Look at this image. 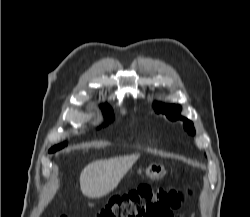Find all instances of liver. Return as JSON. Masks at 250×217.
<instances>
[{"label":"liver","instance_id":"1","mask_svg":"<svg viewBox=\"0 0 250 217\" xmlns=\"http://www.w3.org/2000/svg\"><path fill=\"white\" fill-rule=\"evenodd\" d=\"M139 157V154H133L88 164L80 174V188L83 195L97 199L109 194Z\"/></svg>","mask_w":250,"mask_h":217}]
</instances>
